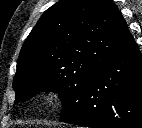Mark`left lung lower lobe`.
Listing matches in <instances>:
<instances>
[{"mask_svg": "<svg viewBox=\"0 0 142 128\" xmlns=\"http://www.w3.org/2000/svg\"><path fill=\"white\" fill-rule=\"evenodd\" d=\"M90 128H142V55L134 38L117 49L60 120Z\"/></svg>", "mask_w": 142, "mask_h": 128, "instance_id": "1", "label": "left lung lower lobe"}]
</instances>
